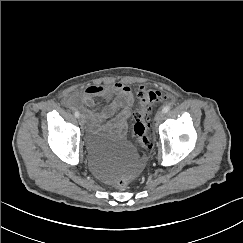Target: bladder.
<instances>
[{"label": "bladder", "instance_id": "31cf9c89", "mask_svg": "<svg viewBox=\"0 0 243 243\" xmlns=\"http://www.w3.org/2000/svg\"><path fill=\"white\" fill-rule=\"evenodd\" d=\"M87 142L98 154L113 152L117 156V170L121 177L136 174L142 168L143 160L138 150L109 120L96 122L87 133Z\"/></svg>", "mask_w": 243, "mask_h": 243}]
</instances>
